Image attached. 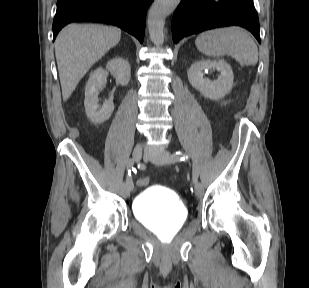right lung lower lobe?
Here are the masks:
<instances>
[{
	"label": "right lung lower lobe",
	"instance_id": "98d812e1",
	"mask_svg": "<svg viewBox=\"0 0 309 288\" xmlns=\"http://www.w3.org/2000/svg\"><path fill=\"white\" fill-rule=\"evenodd\" d=\"M153 0H58L53 21L54 40L66 24L75 21H97L116 25L144 38L146 11Z\"/></svg>",
	"mask_w": 309,
	"mask_h": 288
}]
</instances>
